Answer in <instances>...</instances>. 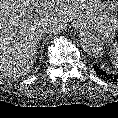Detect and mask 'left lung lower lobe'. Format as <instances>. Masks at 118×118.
<instances>
[{"label": "left lung lower lobe", "instance_id": "obj_1", "mask_svg": "<svg viewBox=\"0 0 118 118\" xmlns=\"http://www.w3.org/2000/svg\"><path fill=\"white\" fill-rule=\"evenodd\" d=\"M94 70L96 71L97 76H99L102 79L110 80V81H117L118 80V74H109L100 69L97 66H94Z\"/></svg>", "mask_w": 118, "mask_h": 118}]
</instances>
